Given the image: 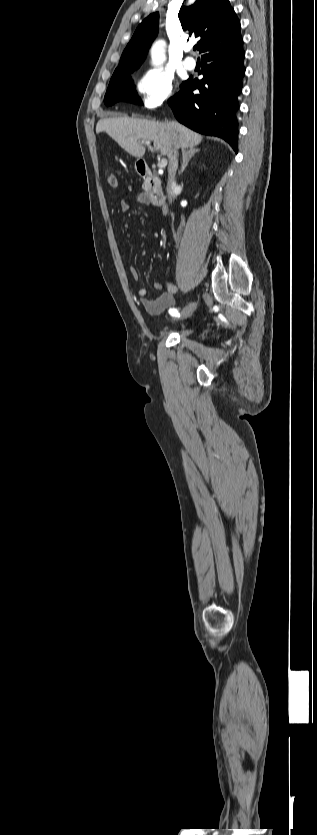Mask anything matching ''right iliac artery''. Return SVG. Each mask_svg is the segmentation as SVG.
Segmentation results:
<instances>
[{
    "mask_svg": "<svg viewBox=\"0 0 317 835\" xmlns=\"http://www.w3.org/2000/svg\"><path fill=\"white\" fill-rule=\"evenodd\" d=\"M169 314H170L171 316H175V317H176V316H178V317L180 316V313H179V312H178V310H177V309H175V308H171V309H169Z\"/></svg>",
    "mask_w": 317,
    "mask_h": 835,
    "instance_id": "right-iliac-artery-1",
    "label": "right iliac artery"
}]
</instances>
